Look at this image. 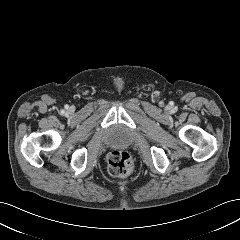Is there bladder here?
<instances>
[{"instance_id":"1","label":"bladder","mask_w":240,"mask_h":240,"mask_svg":"<svg viewBox=\"0 0 240 240\" xmlns=\"http://www.w3.org/2000/svg\"><path fill=\"white\" fill-rule=\"evenodd\" d=\"M108 137L109 144L112 146H125L130 142V136L122 128H114L110 130Z\"/></svg>"}]
</instances>
